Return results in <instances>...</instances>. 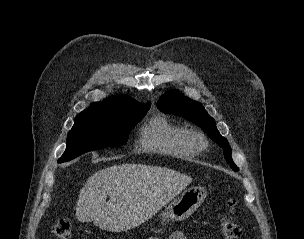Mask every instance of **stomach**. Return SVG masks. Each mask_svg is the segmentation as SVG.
I'll return each mask as SVG.
<instances>
[{
  "label": "stomach",
  "mask_w": 304,
  "mask_h": 239,
  "mask_svg": "<svg viewBox=\"0 0 304 239\" xmlns=\"http://www.w3.org/2000/svg\"><path fill=\"white\" fill-rule=\"evenodd\" d=\"M204 187L196 186L185 190L178 198L171 201L161 212L163 222L181 221L188 218L205 200Z\"/></svg>",
  "instance_id": "stomach-1"
}]
</instances>
